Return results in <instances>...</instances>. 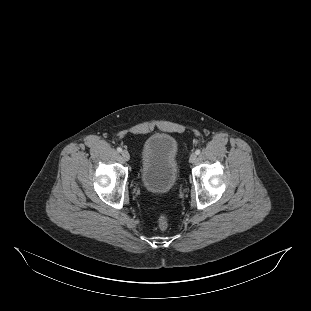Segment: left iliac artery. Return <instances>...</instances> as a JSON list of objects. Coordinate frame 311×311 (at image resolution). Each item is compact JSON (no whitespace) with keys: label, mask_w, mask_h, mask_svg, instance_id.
<instances>
[{"label":"left iliac artery","mask_w":311,"mask_h":311,"mask_svg":"<svg viewBox=\"0 0 311 311\" xmlns=\"http://www.w3.org/2000/svg\"><path fill=\"white\" fill-rule=\"evenodd\" d=\"M200 149H197L196 151H195V153L197 154V155H199L200 154Z\"/></svg>","instance_id":"obj_1"}]
</instances>
